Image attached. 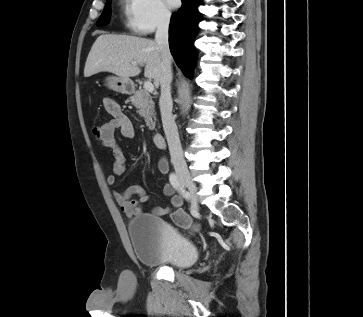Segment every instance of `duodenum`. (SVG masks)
Masks as SVG:
<instances>
[{
	"instance_id": "1",
	"label": "duodenum",
	"mask_w": 363,
	"mask_h": 317,
	"mask_svg": "<svg viewBox=\"0 0 363 317\" xmlns=\"http://www.w3.org/2000/svg\"><path fill=\"white\" fill-rule=\"evenodd\" d=\"M152 141H153V144L157 148H163L165 146L164 137H163L162 133H160V132H154L153 133V135H152Z\"/></svg>"
}]
</instances>
